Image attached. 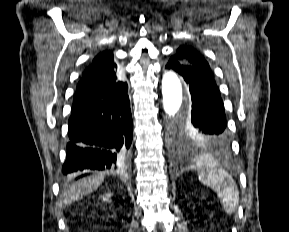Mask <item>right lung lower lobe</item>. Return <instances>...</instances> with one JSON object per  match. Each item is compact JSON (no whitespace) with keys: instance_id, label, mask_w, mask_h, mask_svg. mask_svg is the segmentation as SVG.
Returning <instances> with one entry per match:
<instances>
[{"instance_id":"right-lung-lower-lobe-1","label":"right lung lower lobe","mask_w":289,"mask_h":232,"mask_svg":"<svg viewBox=\"0 0 289 232\" xmlns=\"http://www.w3.org/2000/svg\"><path fill=\"white\" fill-rule=\"evenodd\" d=\"M68 124L70 142L63 174L87 175L117 168L125 161L133 136L127 91L112 99L74 106Z\"/></svg>"}]
</instances>
